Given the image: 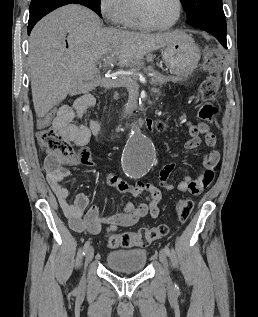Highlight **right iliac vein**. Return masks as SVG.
I'll return each mask as SVG.
<instances>
[{"label":"right iliac vein","instance_id":"right-iliac-vein-1","mask_svg":"<svg viewBox=\"0 0 258 317\" xmlns=\"http://www.w3.org/2000/svg\"><path fill=\"white\" fill-rule=\"evenodd\" d=\"M94 253V246H89L84 258L87 263L92 261ZM87 263L85 264L86 266L88 265ZM83 269L85 270L86 268L84 267Z\"/></svg>","mask_w":258,"mask_h":317}]
</instances>
